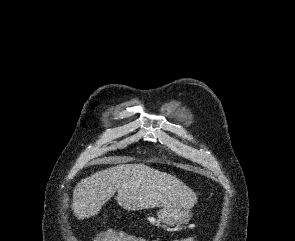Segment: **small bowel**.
<instances>
[{
  "instance_id": "small-bowel-1",
  "label": "small bowel",
  "mask_w": 295,
  "mask_h": 241,
  "mask_svg": "<svg viewBox=\"0 0 295 241\" xmlns=\"http://www.w3.org/2000/svg\"><path fill=\"white\" fill-rule=\"evenodd\" d=\"M186 240L193 241V239H186ZM130 241H146V240L142 238H138V237H130Z\"/></svg>"
}]
</instances>
